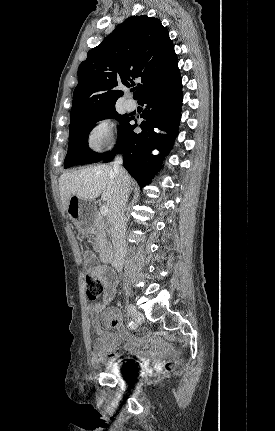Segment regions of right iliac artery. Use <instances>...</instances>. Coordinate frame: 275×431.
Instances as JSON below:
<instances>
[{
    "mask_svg": "<svg viewBox=\"0 0 275 431\" xmlns=\"http://www.w3.org/2000/svg\"><path fill=\"white\" fill-rule=\"evenodd\" d=\"M137 327V325L133 322V321H131L130 323H129V328L130 329H135Z\"/></svg>",
    "mask_w": 275,
    "mask_h": 431,
    "instance_id": "obj_1",
    "label": "right iliac artery"
}]
</instances>
